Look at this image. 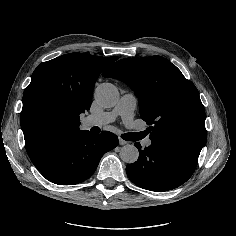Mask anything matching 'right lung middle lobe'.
Wrapping results in <instances>:
<instances>
[{
	"mask_svg": "<svg viewBox=\"0 0 236 236\" xmlns=\"http://www.w3.org/2000/svg\"><path fill=\"white\" fill-rule=\"evenodd\" d=\"M36 125L45 131H53L60 124V116L56 110L48 106L40 107L35 113Z\"/></svg>",
	"mask_w": 236,
	"mask_h": 236,
	"instance_id": "dd1d6c3e",
	"label": "right lung middle lobe"
}]
</instances>
